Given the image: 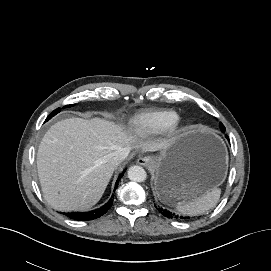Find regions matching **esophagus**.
I'll use <instances>...</instances> for the list:
<instances>
[{
  "mask_svg": "<svg viewBox=\"0 0 271 271\" xmlns=\"http://www.w3.org/2000/svg\"><path fill=\"white\" fill-rule=\"evenodd\" d=\"M137 163L144 167H150L153 163V160L150 156H143L137 160Z\"/></svg>",
  "mask_w": 271,
  "mask_h": 271,
  "instance_id": "34e87169",
  "label": "esophagus"
}]
</instances>
